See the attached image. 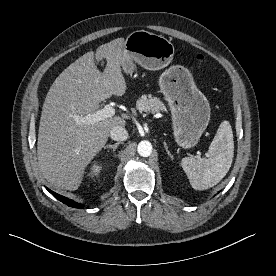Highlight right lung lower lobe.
Returning <instances> with one entry per match:
<instances>
[{
    "label": "right lung lower lobe",
    "mask_w": 276,
    "mask_h": 276,
    "mask_svg": "<svg viewBox=\"0 0 276 276\" xmlns=\"http://www.w3.org/2000/svg\"><path fill=\"white\" fill-rule=\"evenodd\" d=\"M55 198H57L59 201L63 202L64 204L70 206V207H73V208H83L84 205L80 204V203H77V202H74L72 201L71 199H68L62 195H59L53 191H51L50 189L46 188Z\"/></svg>",
    "instance_id": "right-lung-lower-lobe-1"
}]
</instances>
